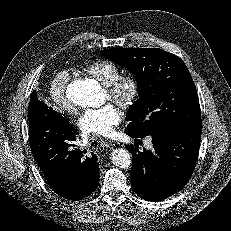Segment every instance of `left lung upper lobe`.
Here are the masks:
<instances>
[{"label":"left lung upper lobe","mask_w":231,"mask_h":231,"mask_svg":"<svg viewBox=\"0 0 231 231\" xmlns=\"http://www.w3.org/2000/svg\"><path fill=\"white\" fill-rule=\"evenodd\" d=\"M100 53L129 69L138 81L140 97L127 112L125 131L144 137L201 127L197 90L178 56L159 48H115Z\"/></svg>","instance_id":"5c2ea615"}]
</instances>
